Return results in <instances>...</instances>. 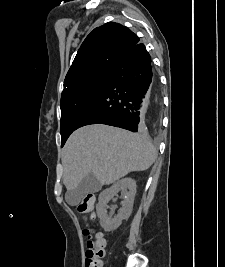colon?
I'll return each mask as SVG.
<instances>
[{
  "label": "colon",
  "instance_id": "5ec220e1",
  "mask_svg": "<svg viewBox=\"0 0 225 267\" xmlns=\"http://www.w3.org/2000/svg\"><path fill=\"white\" fill-rule=\"evenodd\" d=\"M95 198L87 195L78 205V211L87 225L83 228L82 234L87 239V251L84 267H103L102 259L105 254V242L100 232L88 224L90 213L94 209Z\"/></svg>",
  "mask_w": 225,
  "mask_h": 267
}]
</instances>
